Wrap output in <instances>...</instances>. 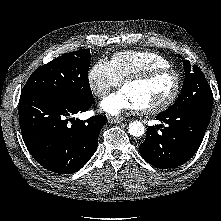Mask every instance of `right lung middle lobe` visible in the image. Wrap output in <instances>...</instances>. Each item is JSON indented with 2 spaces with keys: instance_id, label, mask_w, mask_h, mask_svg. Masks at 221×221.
Listing matches in <instances>:
<instances>
[{
  "instance_id": "obj_1",
  "label": "right lung middle lobe",
  "mask_w": 221,
  "mask_h": 221,
  "mask_svg": "<svg viewBox=\"0 0 221 221\" xmlns=\"http://www.w3.org/2000/svg\"><path fill=\"white\" fill-rule=\"evenodd\" d=\"M91 54L88 49L66 53L38 68L26 82L21 95L49 93L78 102L93 99L88 82Z\"/></svg>"
}]
</instances>
